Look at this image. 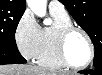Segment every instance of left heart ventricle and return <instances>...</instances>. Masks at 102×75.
Listing matches in <instances>:
<instances>
[{
  "mask_svg": "<svg viewBox=\"0 0 102 75\" xmlns=\"http://www.w3.org/2000/svg\"><path fill=\"white\" fill-rule=\"evenodd\" d=\"M66 52L73 63L86 59L90 54V49L84 35L74 32L67 40Z\"/></svg>",
  "mask_w": 102,
  "mask_h": 75,
  "instance_id": "left-heart-ventricle-1",
  "label": "left heart ventricle"
}]
</instances>
